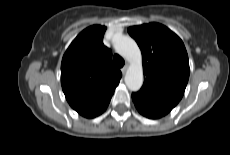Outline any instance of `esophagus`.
Returning <instances> with one entry per match:
<instances>
[{
	"label": "esophagus",
	"instance_id": "1",
	"mask_svg": "<svg viewBox=\"0 0 230 155\" xmlns=\"http://www.w3.org/2000/svg\"><path fill=\"white\" fill-rule=\"evenodd\" d=\"M128 67H129V65H128V64H126V65H125V66L121 69V71H122V73H123V74H125V73H126V71H127Z\"/></svg>",
	"mask_w": 230,
	"mask_h": 155
}]
</instances>
